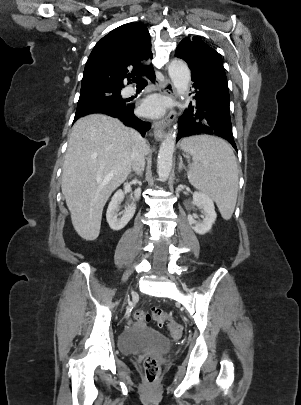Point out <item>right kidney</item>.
<instances>
[{
	"label": "right kidney",
	"mask_w": 301,
	"mask_h": 405,
	"mask_svg": "<svg viewBox=\"0 0 301 405\" xmlns=\"http://www.w3.org/2000/svg\"><path fill=\"white\" fill-rule=\"evenodd\" d=\"M141 194V189L137 188L134 191V197L135 200H138L140 198ZM124 199V193L122 190H118L112 197L111 202L109 203L107 213H106V219L107 222L110 226V228L114 231L121 230L126 226V224L131 220V218L134 216L135 210H136V204L133 202L131 205H129L126 209L125 212L122 213V217L118 218V216L121 214L119 213V205Z\"/></svg>",
	"instance_id": "ca27d5eb"
}]
</instances>
